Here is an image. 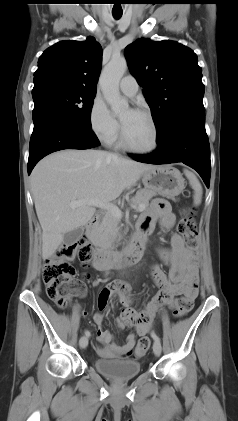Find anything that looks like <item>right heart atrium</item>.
<instances>
[{"mask_svg": "<svg viewBox=\"0 0 238 421\" xmlns=\"http://www.w3.org/2000/svg\"><path fill=\"white\" fill-rule=\"evenodd\" d=\"M89 122L94 134L106 143H113L119 134V123L105 102L96 97L91 105Z\"/></svg>", "mask_w": 238, "mask_h": 421, "instance_id": "obj_1", "label": "right heart atrium"}]
</instances>
